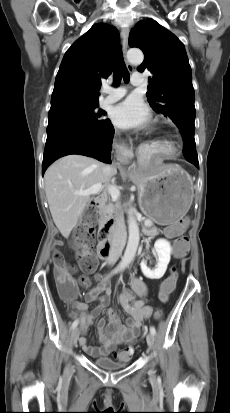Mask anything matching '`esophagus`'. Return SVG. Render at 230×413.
<instances>
[{"label":"esophagus","mask_w":230,"mask_h":413,"mask_svg":"<svg viewBox=\"0 0 230 413\" xmlns=\"http://www.w3.org/2000/svg\"><path fill=\"white\" fill-rule=\"evenodd\" d=\"M129 32H130V30H129L128 27H124L121 30L122 50H123L124 54L126 53L127 47H128ZM127 68H128L129 71H133V66L129 63H127ZM118 151H119L120 154H123V153H128L129 149L125 145H119L118 146Z\"/></svg>","instance_id":"34e87169"}]
</instances>
